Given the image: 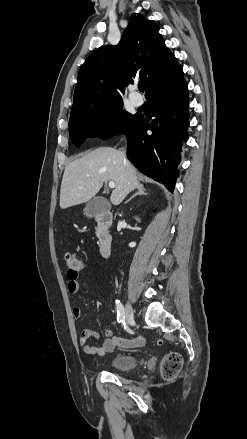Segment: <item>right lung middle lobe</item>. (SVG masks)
Listing matches in <instances>:
<instances>
[{"label":"right lung middle lobe","mask_w":247,"mask_h":439,"mask_svg":"<svg viewBox=\"0 0 247 439\" xmlns=\"http://www.w3.org/2000/svg\"><path fill=\"white\" fill-rule=\"evenodd\" d=\"M137 116L123 111L122 101L91 109L70 117V138L76 146H80L87 137L95 136L97 129L108 120H111V127L104 128L103 134H121L131 127Z\"/></svg>","instance_id":"right-lung-middle-lobe-1"}]
</instances>
